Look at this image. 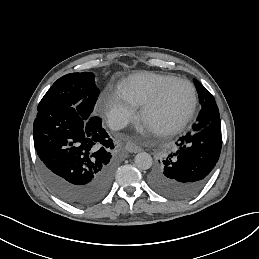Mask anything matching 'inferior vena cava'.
Returning a JSON list of instances; mask_svg holds the SVG:
<instances>
[{
  "instance_id": "602c4592",
  "label": "inferior vena cava",
  "mask_w": 259,
  "mask_h": 259,
  "mask_svg": "<svg viewBox=\"0 0 259 259\" xmlns=\"http://www.w3.org/2000/svg\"><path fill=\"white\" fill-rule=\"evenodd\" d=\"M128 124V119L125 116L114 114L108 119V126L111 130L118 131L125 128Z\"/></svg>"
}]
</instances>
